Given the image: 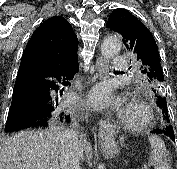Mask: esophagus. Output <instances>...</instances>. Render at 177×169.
Instances as JSON below:
<instances>
[{
    "instance_id": "34e87169",
    "label": "esophagus",
    "mask_w": 177,
    "mask_h": 169,
    "mask_svg": "<svg viewBox=\"0 0 177 169\" xmlns=\"http://www.w3.org/2000/svg\"><path fill=\"white\" fill-rule=\"evenodd\" d=\"M96 76L99 78H105L107 76L108 72V65L107 61L102 58L98 57L96 60ZM114 133L113 131V125L108 121V120H101L99 123V138L100 139H105L109 136H111Z\"/></svg>"
}]
</instances>
